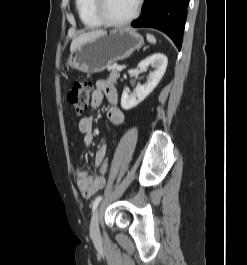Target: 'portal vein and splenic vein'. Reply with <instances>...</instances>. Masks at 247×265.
<instances>
[{"instance_id":"obj_1","label":"portal vein and splenic vein","mask_w":247,"mask_h":265,"mask_svg":"<svg viewBox=\"0 0 247 265\" xmlns=\"http://www.w3.org/2000/svg\"><path fill=\"white\" fill-rule=\"evenodd\" d=\"M123 69V66L119 65L117 66V70L121 71Z\"/></svg>"}]
</instances>
